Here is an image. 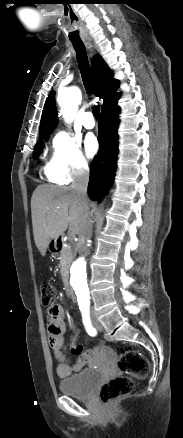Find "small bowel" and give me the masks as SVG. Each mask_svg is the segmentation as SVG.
Listing matches in <instances>:
<instances>
[{"instance_id": "small-bowel-1", "label": "small bowel", "mask_w": 183, "mask_h": 438, "mask_svg": "<svg viewBox=\"0 0 183 438\" xmlns=\"http://www.w3.org/2000/svg\"><path fill=\"white\" fill-rule=\"evenodd\" d=\"M65 312L62 306L54 304L47 311V333L52 353L57 360L56 373L60 378H66L73 372L81 370L98 352L99 346L84 350L75 343V334L71 337V352L78 356L74 364H70L63 353Z\"/></svg>"}]
</instances>
